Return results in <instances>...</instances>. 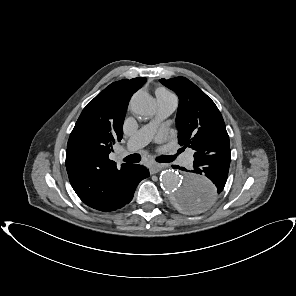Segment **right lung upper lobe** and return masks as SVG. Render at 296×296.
Segmentation results:
<instances>
[{
	"mask_svg": "<svg viewBox=\"0 0 296 296\" xmlns=\"http://www.w3.org/2000/svg\"><path fill=\"white\" fill-rule=\"evenodd\" d=\"M146 78L114 82L91 100L73 128L66 169L78 197L89 207L108 211L121 197L130 164L117 168L109 159L112 145L123 137L122 126L131 96Z\"/></svg>",
	"mask_w": 296,
	"mask_h": 296,
	"instance_id": "1",
	"label": "right lung upper lobe"
}]
</instances>
